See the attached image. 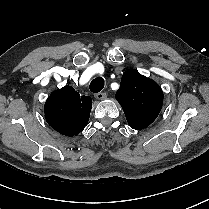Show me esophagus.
I'll return each mask as SVG.
<instances>
[{"label": "esophagus", "mask_w": 209, "mask_h": 209, "mask_svg": "<svg viewBox=\"0 0 209 209\" xmlns=\"http://www.w3.org/2000/svg\"><path fill=\"white\" fill-rule=\"evenodd\" d=\"M106 97H107L106 92H99V93L95 94V98H97L98 100L105 99Z\"/></svg>", "instance_id": "34e87169"}]
</instances>
